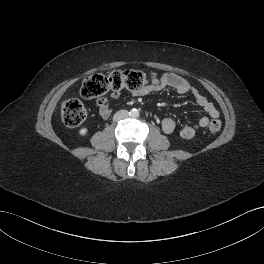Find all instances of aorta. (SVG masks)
<instances>
[{"label":"aorta","instance_id":"762f6f07","mask_svg":"<svg viewBox=\"0 0 264 264\" xmlns=\"http://www.w3.org/2000/svg\"><path fill=\"white\" fill-rule=\"evenodd\" d=\"M130 116H131L132 118H136V117H138V116H139V111H138V109L133 108V109L130 111Z\"/></svg>","mask_w":264,"mask_h":264}]
</instances>
